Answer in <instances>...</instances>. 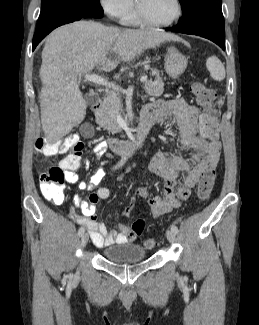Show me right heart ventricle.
Wrapping results in <instances>:
<instances>
[{"mask_svg": "<svg viewBox=\"0 0 259 325\" xmlns=\"http://www.w3.org/2000/svg\"><path fill=\"white\" fill-rule=\"evenodd\" d=\"M123 21L129 25H135L139 23V19L135 11H131L126 16L123 17Z\"/></svg>", "mask_w": 259, "mask_h": 325, "instance_id": "e07e8e85", "label": "right heart ventricle"}]
</instances>
